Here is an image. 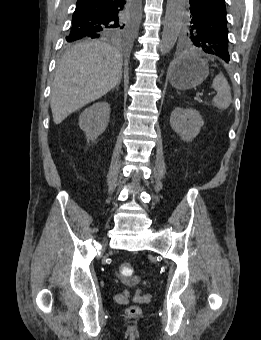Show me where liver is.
Masks as SVG:
<instances>
[{
  "label": "liver",
  "instance_id": "6515ba94",
  "mask_svg": "<svg viewBox=\"0 0 261 340\" xmlns=\"http://www.w3.org/2000/svg\"><path fill=\"white\" fill-rule=\"evenodd\" d=\"M122 54L100 41L80 43L61 59L51 91L55 124L113 89L122 78Z\"/></svg>",
  "mask_w": 261,
  "mask_h": 340
}]
</instances>
